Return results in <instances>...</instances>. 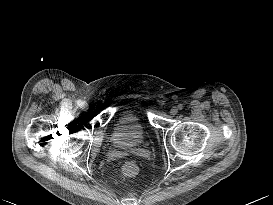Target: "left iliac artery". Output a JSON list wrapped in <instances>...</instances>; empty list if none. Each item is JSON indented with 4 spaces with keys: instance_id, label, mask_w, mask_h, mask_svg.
Here are the masks:
<instances>
[{
    "instance_id": "44dca946",
    "label": "left iliac artery",
    "mask_w": 273,
    "mask_h": 205,
    "mask_svg": "<svg viewBox=\"0 0 273 205\" xmlns=\"http://www.w3.org/2000/svg\"><path fill=\"white\" fill-rule=\"evenodd\" d=\"M178 108H179L180 110H182V109H183V105H182V104H179V105H178Z\"/></svg>"
}]
</instances>
